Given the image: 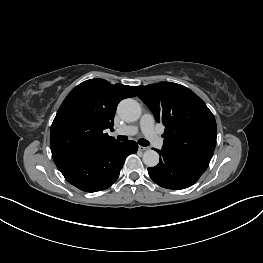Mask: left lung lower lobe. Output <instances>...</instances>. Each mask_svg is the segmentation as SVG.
Returning a JSON list of instances; mask_svg holds the SVG:
<instances>
[{
  "label": "left lung lower lobe",
  "mask_w": 263,
  "mask_h": 263,
  "mask_svg": "<svg viewBox=\"0 0 263 263\" xmlns=\"http://www.w3.org/2000/svg\"><path fill=\"white\" fill-rule=\"evenodd\" d=\"M160 163L148 168L151 179L159 186L180 190L193 185L205 172L209 163L182 157L166 150H156Z\"/></svg>",
  "instance_id": "0a47b994"
}]
</instances>
